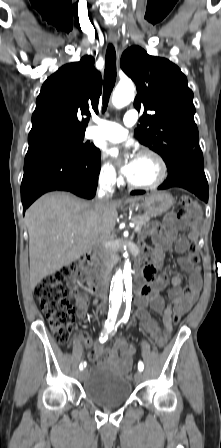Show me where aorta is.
<instances>
[{"instance_id": "1", "label": "aorta", "mask_w": 221, "mask_h": 448, "mask_svg": "<svg viewBox=\"0 0 221 448\" xmlns=\"http://www.w3.org/2000/svg\"><path fill=\"white\" fill-rule=\"evenodd\" d=\"M135 95V89L132 82L119 83L115 88L112 103L116 108H122L128 105ZM124 257L126 258L123 270H118L113 278L111 299L112 312L117 314L123 307V299L127 292V286L131 280V259L127 248L124 247Z\"/></svg>"}]
</instances>
